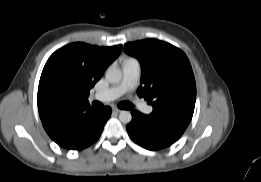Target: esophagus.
I'll return each instance as SVG.
<instances>
[{
	"label": "esophagus",
	"instance_id": "1",
	"mask_svg": "<svg viewBox=\"0 0 261 182\" xmlns=\"http://www.w3.org/2000/svg\"><path fill=\"white\" fill-rule=\"evenodd\" d=\"M121 111H122L121 109L113 108V112H115V113H120Z\"/></svg>",
	"mask_w": 261,
	"mask_h": 182
}]
</instances>
